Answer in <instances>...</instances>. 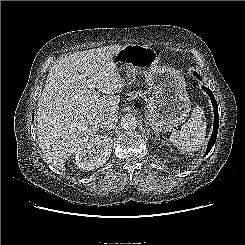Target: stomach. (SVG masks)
<instances>
[{"label":"stomach","instance_id":"obj_1","mask_svg":"<svg viewBox=\"0 0 245 245\" xmlns=\"http://www.w3.org/2000/svg\"><path fill=\"white\" fill-rule=\"evenodd\" d=\"M124 85H131L137 74L144 75L154 90L145 116L155 133L170 132L183 122L191 109L183 75L170 67L158 66L159 56L146 45L127 44L113 57Z\"/></svg>","mask_w":245,"mask_h":245}]
</instances>
